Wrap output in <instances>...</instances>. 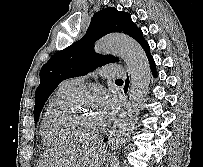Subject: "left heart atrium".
<instances>
[{"label": "left heart atrium", "mask_w": 203, "mask_h": 167, "mask_svg": "<svg viewBox=\"0 0 203 167\" xmlns=\"http://www.w3.org/2000/svg\"><path fill=\"white\" fill-rule=\"evenodd\" d=\"M98 111L96 112L100 123L105 126L114 116L117 104L116 102L107 94H103L99 98Z\"/></svg>", "instance_id": "39dd6f15"}]
</instances>
